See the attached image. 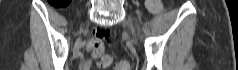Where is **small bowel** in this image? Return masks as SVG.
<instances>
[{"instance_id":"small-bowel-1","label":"small bowel","mask_w":238,"mask_h":70,"mask_svg":"<svg viewBox=\"0 0 238 70\" xmlns=\"http://www.w3.org/2000/svg\"><path fill=\"white\" fill-rule=\"evenodd\" d=\"M93 56H94V58H96V57H102V55L99 56V55H96V54H94V53H93ZM90 66H91V61H87V62H85V63L83 64L84 70H88V69L90 68Z\"/></svg>"}]
</instances>
